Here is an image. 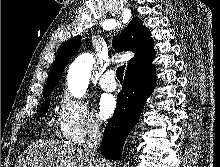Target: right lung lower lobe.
I'll return each instance as SVG.
<instances>
[{
	"label": "right lung lower lobe",
	"instance_id": "1",
	"mask_svg": "<svg viewBox=\"0 0 220 167\" xmlns=\"http://www.w3.org/2000/svg\"><path fill=\"white\" fill-rule=\"evenodd\" d=\"M155 81L153 65H144L126 72L122 91L117 97L115 113L103 133L101 150L105 157L121 159L126 137L136 125L143 104L153 91Z\"/></svg>",
	"mask_w": 220,
	"mask_h": 167
}]
</instances>
